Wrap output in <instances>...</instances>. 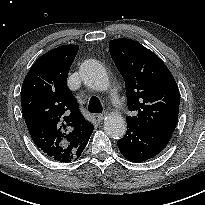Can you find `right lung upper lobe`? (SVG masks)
<instances>
[{"label":"right lung upper lobe","instance_id":"1","mask_svg":"<svg viewBox=\"0 0 205 205\" xmlns=\"http://www.w3.org/2000/svg\"><path fill=\"white\" fill-rule=\"evenodd\" d=\"M78 45L59 46L42 55L22 85V112L37 147L59 162H71L93 132L67 87Z\"/></svg>","mask_w":205,"mask_h":205}]
</instances>
